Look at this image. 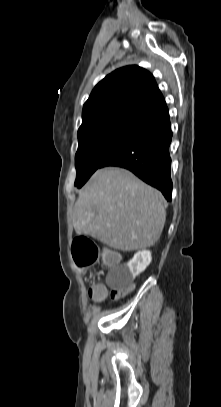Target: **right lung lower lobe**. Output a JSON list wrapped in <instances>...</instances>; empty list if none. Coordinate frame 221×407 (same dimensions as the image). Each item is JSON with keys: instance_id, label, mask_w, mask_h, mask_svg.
I'll return each instance as SVG.
<instances>
[{"instance_id": "obj_1", "label": "right lung lower lobe", "mask_w": 221, "mask_h": 407, "mask_svg": "<svg viewBox=\"0 0 221 407\" xmlns=\"http://www.w3.org/2000/svg\"><path fill=\"white\" fill-rule=\"evenodd\" d=\"M172 131L167 107L143 121L136 130L102 163L100 168H126L159 189L167 201L172 199Z\"/></svg>"}]
</instances>
